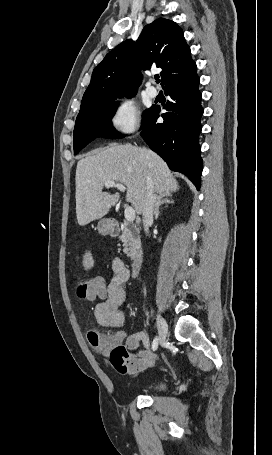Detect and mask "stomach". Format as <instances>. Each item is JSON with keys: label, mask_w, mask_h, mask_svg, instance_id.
<instances>
[{"label": "stomach", "mask_w": 272, "mask_h": 455, "mask_svg": "<svg viewBox=\"0 0 272 455\" xmlns=\"http://www.w3.org/2000/svg\"><path fill=\"white\" fill-rule=\"evenodd\" d=\"M113 228V222L109 219H102L98 224V231L102 235H107Z\"/></svg>", "instance_id": "1"}]
</instances>
